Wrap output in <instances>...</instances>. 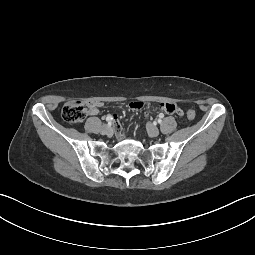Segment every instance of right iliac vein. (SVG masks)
<instances>
[{
	"label": "right iliac vein",
	"mask_w": 255,
	"mask_h": 255,
	"mask_svg": "<svg viewBox=\"0 0 255 255\" xmlns=\"http://www.w3.org/2000/svg\"><path fill=\"white\" fill-rule=\"evenodd\" d=\"M111 127L109 125H103L101 128V134L106 135L110 133Z\"/></svg>",
	"instance_id": "obj_1"
}]
</instances>
